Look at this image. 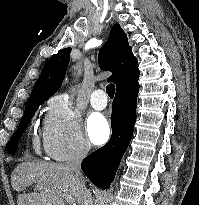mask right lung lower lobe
<instances>
[{"instance_id":"right-lung-lower-lobe-1","label":"right lung lower lobe","mask_w":199,"mask_h":205,"mask_svg":"<svg viewBox=\"0 0 199 205\" xmlns=\"http://www.w3.org/2000/svg\"><path fill=\"white\" fill-rule=\"evenodd\" d=\"M138 79L139 75L117 89L112 103V136L105 146L82 161L83 172L101 189L110 187L121 158L131 141L136 121Z\"/></svg>"}]
</instances>
